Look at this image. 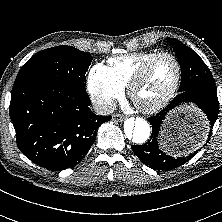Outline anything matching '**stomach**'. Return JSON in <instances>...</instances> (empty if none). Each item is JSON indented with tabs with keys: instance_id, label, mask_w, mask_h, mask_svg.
I'll use <instances>...</instances> for the list:
<instances>
[{
	"instance_id": "stomach-1",
	"label": "stomach",
	"mask_w": 222,
	"mask_h": 222,
	"mask_svg": "<svg viewBox=\"0 0 222 222\" xmlns=\"http://www.w3.org/2000/svg\"><path fill=\"white\" fill-rule=\"evenodd\" d=\"M206 122L194 108L186 107L171 115L164 125L163 148L172 155L188 154L199 146Z\"/></svg>"
}]
</instances>
